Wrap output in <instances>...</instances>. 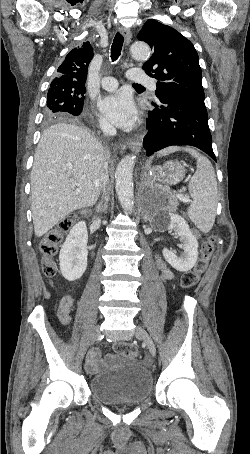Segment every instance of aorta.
<instances>
[{
    "instance_id": "obj_1",
    "label": "aorta",
    "mask_w": 250,
    "mask_h": 454,
    "mask_svg": "<svg viewBox=\"0 0 250 454\" xmlns=\"http://www.w3.org/2000/svg\"><path fill=\"white\" fill-rule=\"evenodd\" d=\"M132 56L139 61H146L150 57V48L145 42H134L130 46ZM136 156L133 154L126 155L118 163L115 179L116 193L123 208L131 213L134 205L133 193V168L135 165Z\"/></svg>"
}]
</instances>
